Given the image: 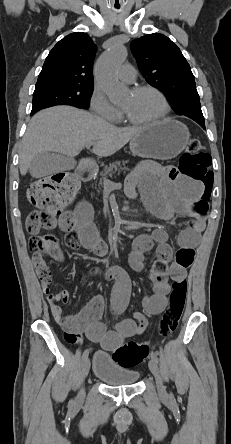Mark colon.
<instances>
[{"label": "colon", "mask_w": 231, "mask_h": 444, "mask_svg": "<svg viewBox=\"0 0 231 444\" xmlns=\"http://www.w3.org/2000/svg\"><path fill=\"white\" fill-rule=\"evenodd\" d=\"M210 164V155L200 141L192 139L181 156L179 169L186 177L209 187L213 181ZM77 190L78 182L70 174H54L37 180L29 187L28 199L38 209L29 215L26 222V229L31 235L29 247L33 257L40 258L44 254L57 259L62 257L58 240L52 235H43L40 232L56 226L57 217L65 214L63 211L72 202ZM208 198L209 191L206 190L196 208L200 213H205ZM39 278L43 287H50L52 274L48 269L43 270ZM186 295V279L174 280L169 306L159 321V335L162 339L170 337L176 330L183 313ZM148 353L147 344L128 342L114 350L112 356L120 365L134 367L142 363Z\"/></svg>", "instance_id": "5ec220e1"}]
</instances>
